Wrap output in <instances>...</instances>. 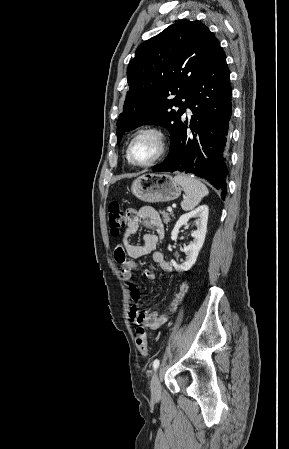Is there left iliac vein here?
<instances>
[{
	"instance_id": "left-iliac-vein-1",
	"label": "left iliac vein",
	"mask_w": 289,
	"mask_h": 449,
	"mask_svg": "<svg viewBox=\"0 0 289 449\" xmlns=\"http://www.w3.org/2000/svg\"><path fill=\"white\" fill-rule=\"evenodd\" d=\"M151 393H152L153 397H159L161 394V384H160L158 372H156L152 377Z\"/></svg>"
}]
</instances>
